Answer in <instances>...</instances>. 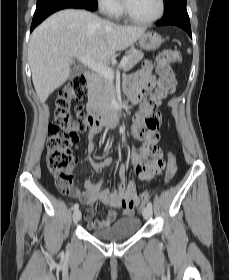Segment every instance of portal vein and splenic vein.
I'll return each mask as SVG.
<instances>
[{"label":"portal vein and splenic vein","instance_id":"18ae733b","mask_svg":"<svg viewBox=\"0 0 229 280\" xmlns=\"http://www.w3.org/2000/svg\"><path fill=\"white\" fill-rule=\"evenodd\" d=\"M77 58L84 66H87L91 70L109 79H114V71L109 67H107L106 65L95 62L91 60L88 56H79ZM127 61H128L127 56H124L119 64V67L124 68L127 64Z\"/></svg>","mask_w":229,"mask_h":280}]
</instances>
